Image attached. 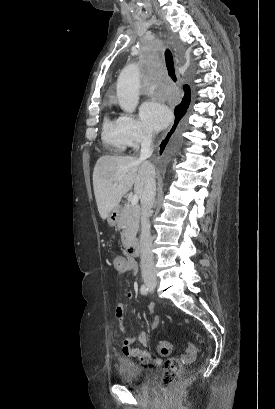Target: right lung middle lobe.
Instances as JSON below:
<instances>
[{"mask_svg":"<svg viewBox=\"0 0 275 409\" xmlns=\"http://www.w3.org/2000/svg\"><path fill=\"white\" fill-rule=\"evenodd\" d=\"M190 99H188L186 102L176 106L175 108V123L168 133L167 137L165 138L164 141L160 144V155H164L166 157H173L177 155L183 147V132H184V127H185V121H182L180 125L178 126L179 120L184 116L186 113L189 104H190ZM178 126V127H177ZM151 167L153 169H163L164 172H170L171 171V166L168 165V162L166 160H153L151 162Z\"/></svg>","mask_w":275,"mask_h":409,"instance_id":"dd1d6c3e","label":"right lung middle lobe"}]
</instances>
